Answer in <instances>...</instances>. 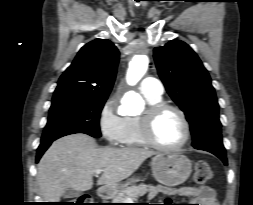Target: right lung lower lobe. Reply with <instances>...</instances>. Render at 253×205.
<instances>
[{
	"label": "right lung lower lobe",
	"mask_w": 253,
	"mask_h": 205,
	"mask_svg": "<svg viewBox=\"0 0 253 205\" xmlns=\"http://www.w3.org/2000/svg\"><path fill=\"white\" fill-rule=\"evenodd\" d=\"M53 141L54 140H49V141H44V142L40 143V145L38 147V150H37L36 162L39 161V159L41 158V156L43 155V153L47 150V148L51 145V143Z\"/></svg>",
	"instance_id": "1"
}]
</instances>
